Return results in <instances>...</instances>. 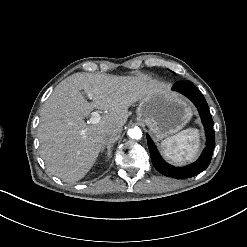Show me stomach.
I'll use <instances>...</instances> for the list:
<instances>
[{"label":"stomach","mask_w":247,"mask_h":247,"mask_svg":"<svg viewBox=\"0 0 247 247\" xmlns=\"http://www.w3.org/2000/svg\"><path fill=\"white\" fill-rule=\"evenodd\" d=\"M137 114L152 135L169 139L192 120L194 109L184 95L160 84L142 98Z\"/></svg>","instance_id":"stomach-1"}]
</instances>
